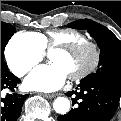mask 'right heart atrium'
<instances>
[{
	"label": "right heart atrium",
	"mask_w": 121,
	"mask_h": 121,
	"mask_svg": "<svg viewBox=\"0 0 121 121\" xmlns=\"http://www.w3.org/2000/svg\"><path fill=\"white\" fill-rule=\"evenodd\" d=\"M5 57L9 68L22 76L42 59V50L34 37L18 33L9 40Z\"/></svg>",
	"instance_id": "1"
}]
</instances>
